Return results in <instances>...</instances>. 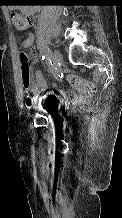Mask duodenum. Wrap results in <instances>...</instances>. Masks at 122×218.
Segmentation results:
<instances>
[{
  "label": "duodenum",
  "instance_id": "1",
  "mask_svg": "<svg viewBox=\"0 0 122 218\" xmlns=\"http://www.w3.org/2000/svg\"><path fill=\"white\" fill-rule=\"evenodd\" d=\"M30 11L35 13V12H37V9L36 8H31Z\"/></svg>",
  "mask_w": 122,
  "mask_h": 218
}]
</instances>
